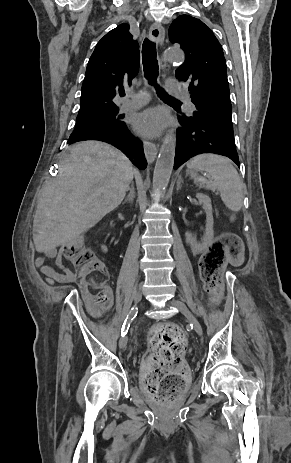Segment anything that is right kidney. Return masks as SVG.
Instances as JSON below:
<instances>
[{
    "mask_svg": "<svg viewBox=\"0 0 291 463\" xmlns=\"http://www.w3.org/2000/svg\"><path fill=\"white\" fill-rule=\"evenodd\" d=\"M102 249H103V250H106V247L103 245V246H102Z\"/></svg>",
    "mask_w": 291,
    "mask_h": 463,
    "instance_id": "ca27d5eb",
    "label": "right kidney"
}]
</instances>
